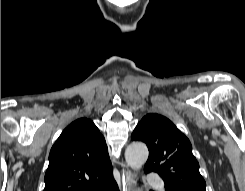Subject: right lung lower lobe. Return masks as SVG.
I'll use <instances>...</instances> for the list:
<instances>
[{"label": "right lung lower lobe", "mask_w": 245, "mask_h": 191, "mask_svg": "<svg viewBox=\"0 0 245 191\" xmlns=\"http://www.w3.org/2000/svg\"><path fill=\"white\" fill-rule=\"evenodd\" d=\"M90 191H119V189L116 181L114 180V178H112L104 184L95 186Z\"/></svg>", "instance_id": "right-lung-lower-lobe-1"}]
</instances>
